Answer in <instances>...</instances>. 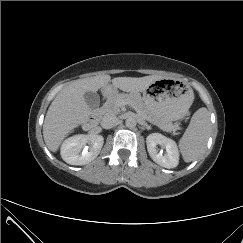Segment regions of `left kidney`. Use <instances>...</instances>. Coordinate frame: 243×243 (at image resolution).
<instances>
[{
  "mask_svg": "<svg viewBox=\"0 0 243 243\" xmlns=\"http://www.w3.org/2000/svg\"><path fill=\"white\" fill-rule=\"evenodd\" d=\"M147 150L154 162L164 168H175L179 163V151L174 140L163 136L160 133H152L146 138ZM160 144L166 149V153H159L157 145Z\"/></svg>",
  "mask_w": 243,
  "mask_h": 243,
  "instance_id": "left-kidney-1",
  "label": "left kidney"
}]
</instances>
